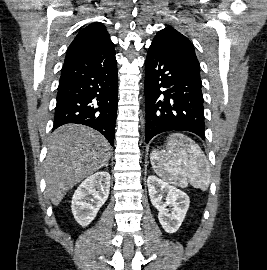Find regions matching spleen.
Returning <instances> with one entry per match:
<instances>
[{"mask_svg":"<svg viewBox=\"0 0 267 270\" xmlns=\"http://www.w3.org/2000/svg\"><path fill=\"white\" fill-rule=\"evenodd\" d=\"M152 167L157 175L167 182L206 190L209 186V163L191 138L181 133L168 137L166 150L153 151L150 155Z\"/></svg>","mask_w":267,"mask_h":270,"instance_id":"spleen-1","label":"spleen"}]
</instances>
